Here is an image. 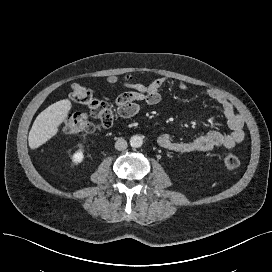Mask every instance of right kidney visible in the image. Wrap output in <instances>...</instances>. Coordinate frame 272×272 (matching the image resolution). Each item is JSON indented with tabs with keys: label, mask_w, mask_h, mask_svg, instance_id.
I'll return each instance as SVG.
<instances>
[{
	"label": "right kidney",
	"mask_w": 272,
	"mask_h": 272,
	"mask_svg": "<svg viewBox=\"0 0 272 272\" xmlns=\"http://www.w3.org/2000/svg\"><path fill=\"white\" fill-rule=\"evenodd\" d=\"M83 159H84V150L82 149H79L78 151H76L72 156V161L75 164L81 163Z\"/></svg>",
	"instance_id": "right-kidney-1"
}]
</instances>
